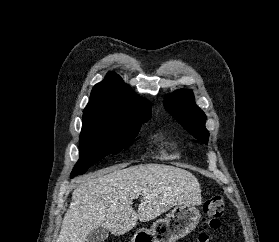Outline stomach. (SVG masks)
I'll return each mask as SVG.
<instances>
[{
	"mask_svg": "<svg viewBox=\"0 0 279 242\" xmlns=\"http://www.w3.org/2000/svg\"><path fill=\"white\" fill-rule=\"evenodd\" d=\"M201 218L190 204H177L165 218L156 220L150 229H139L132 242H175L193 231Z\"/></svg>",
	"mask_w": 279,
	"mask_h": 242,
	"instance_id": "obj_1",
	"label": "stomach"
}]
</instances>
